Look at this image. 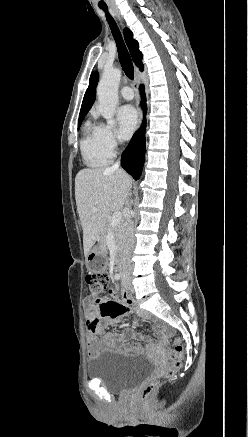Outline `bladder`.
<instances>
[{
    "instance_id": "bladder-1",
    "label": "bladder",
    "mask_w": 248,
    "mask_h": 437,
    "mask_svg": "<svg viewBox=\"0 0 248 437\" xmlns=\"http://www.w3.org/2000/svg\"><path fill=\"white\" fill-rule=\"evenodd\" d=\"M156 369L155 363L145 356L104 351L90 360L87 374L90 379L101 381L110 392L120 393L151 378Z\"/></svg>"
}]
</instances>
